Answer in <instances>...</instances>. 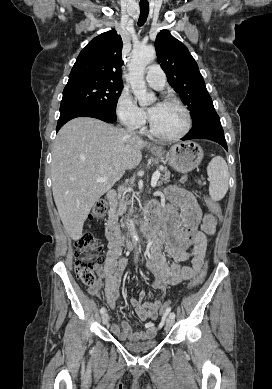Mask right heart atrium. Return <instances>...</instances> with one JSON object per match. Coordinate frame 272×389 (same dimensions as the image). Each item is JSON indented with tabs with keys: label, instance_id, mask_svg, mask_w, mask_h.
I'll return each instance as SVG.
<instances>
[{
	"label": "right heart atrium",
	"instance_id": "right-heart-atrium-1",
	"mask_svg": "<svg viewBox=\"0 0 272 389\" xmlns=\"http://www.w3.org/2000/svg\"><path fill=\"white\" fill-rule=\"evenodd\" d=\"M116 112L121 123L130 129H141L146 123L145 112L136 104L127 91H122L119 95Z\"/></svg>",
	"mask_w": 272,
	"mask_h": 389
}]
</instances>
